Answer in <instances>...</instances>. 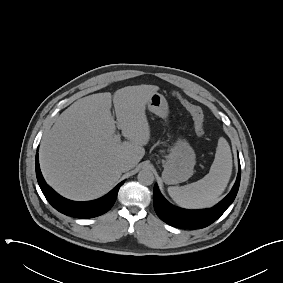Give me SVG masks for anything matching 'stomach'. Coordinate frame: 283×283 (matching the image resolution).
I'll list each match as a JSON object with an SVG mask.
<instances>
[{"instance_id":"1","label":"stomach","mask_w":283,"mask_h":283,"mask_svg":"<svg viewBox=\"0 0 283 283\" xmlns=\"http://www.w3.org/2000/svg\"><path fill=\"white\" fill-rule=\"evenodd\" d=\"M149 111L157 116L167 119L169 114L168 103L162 94L154 93L147 103ZM196 156L190 144L178 138L171 147L166 161L163 164L162 178L166 184H178L188 180L194 170Z\"/></svg>"}]
</instances>
